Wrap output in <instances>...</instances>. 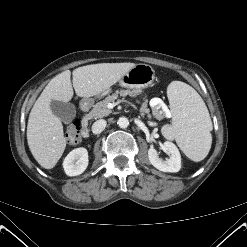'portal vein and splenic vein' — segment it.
Masks as SVG:
<instances>
[{
  "mask_svg": "<svg viewBox=\"0 0 247 247\" xmlns=\"http://www.w3.org/2000/svg\"><path fill=\"white\" fill-rule=\"evenodd\" d=\"M163 110L166 114V117L170 118L171 117V112L169 111V109L164 105L163 106Z\"/></svg>",
  "mask_w": 247,
  "mask_h": 247,
  "instance_id": "obj_1",
  "label": "portal vein and splenic vein"
}]
</instances>
